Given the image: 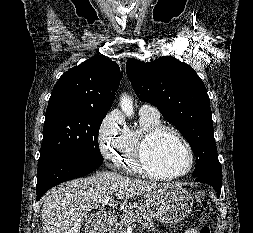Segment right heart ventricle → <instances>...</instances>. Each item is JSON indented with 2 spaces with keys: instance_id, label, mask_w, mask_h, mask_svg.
Here are the masks:
<instances>
[{
  "instance_id": "obj_1",
  "label": "right heart ventricle",
  "mask_w": 253,
  "mask_h": 233,
  "mask_svg": "<svg viewBox=\"0 0 253 233\" xmlns=\"http://www.w3.org/2000/svg\"><path fill=\"white\" fill-rule=\"evenodd\" d=\"M160 125H162L160 116L140 114L139 127L126 129L124 139L114 159L115 165L130 173L143 174L136 162L138 144L147 131Z\"/></svg>"
}]
</instances>
